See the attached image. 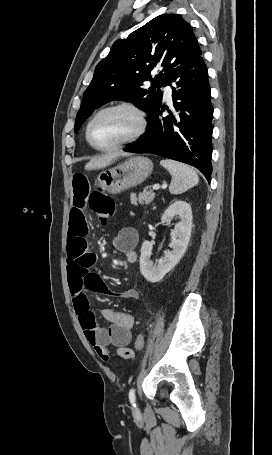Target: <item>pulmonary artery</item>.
<instances>
[{
    "instance_id": "pulmonary-artery-1",
    "label": "pulmonary artery",
    "mask_w": 272,
    "mask_h": 455,
    "mask_svg": "<svg viewBox=\"0 0 272 455\" xmlns=\"http://www.w3.org/2000/svg\"><path fill=\"white\" fill-rule=\"evenodd\" d=\"M164 96L167 100H171V96H172V89H171V86L170 85H166L164 87Z\"/></svg>"
}]
</instances>
